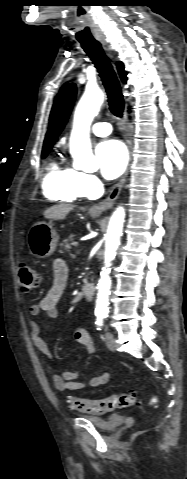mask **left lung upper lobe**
Segmentation results:
<instances>
[{"mask_svg": "<svg viewBox=\"0 0 187 479\" xmlns=\"http://www.w3.org/2000/svg\"><path fill=\"white\" fill-rule=\"evenodd\" d=\"M66 87H67V84H65V85L61 88L59 94H58L57 97H56V100H55V102H54V105H53V108H52V111H51V115H50V121H51V122L53 121V119H54V117H55V115H56V113H57V110H58V108H59L60 102H61V100H62V98H63V96H64V94H65Z\"/></svg>", "mask_w": 187, "mask_h": 479, "instance_id": "left-lung-upper-lobe-1", "label": "left lung upper lobe"}]
</instances>
